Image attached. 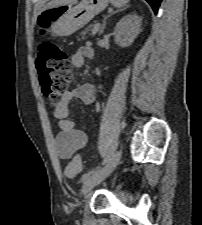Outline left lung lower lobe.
I'll return each instance as SVG.
<instances>
[{
	"instance_id": "0a47b994",
	"label": "left lung lower lobe",
	"mask_w": 202,
	"mask_h": 225,
	"mask_svg": "<svg viewBox=\"0 0 202 225\" xmlns=\"http://www.w3.org/2000/svg\"><path fill=\"white\" fill-rule=\"evenodd\" d=\"M152 7L155 13L158 12V8L162 0H146Z\"/></svg>"
}]
</instances>
